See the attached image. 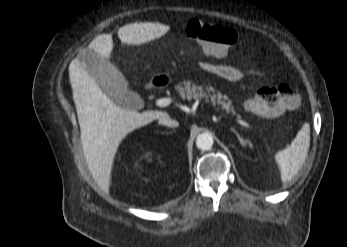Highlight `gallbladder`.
<instances>
[{"label":"gallbladder","mask_w":347,"mask_h":247,"mask_svg":"<svg viewBox=\"0 0 347 247\" xmlns=\"http://www.w3.org/2000/svg\"><path fill=\"white\" fill-rule=\"evenodd\" d=\"M78 60L105 94L117 104L127 109L136 108L138 94L128 90L125 77L109 60L91 50L80 51Z\"/></svg>","instance_id":"obj_1"}]
</instances>
